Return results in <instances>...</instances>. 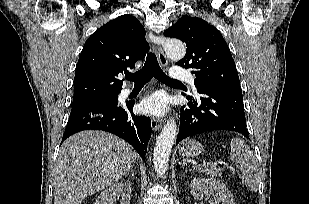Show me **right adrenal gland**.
Listing matches in <instances>:
<instances>
[{
	"mask_svg": "<svg viewBox=\"0 0 309 204\" xmlns=\"http://www.w3.org/2000/svg\"><path fill=\"white\" fill-rule=\"evenodd\" d=\"M128 175H131L133 178L137 179V177L134 174L133 168L130 169V172L128 173Z\"/></svg>",
	"mask_w": 309,
	"mask_h": 204,
	"instance_id": "right-adrenal-gland-1",
	"label": "right adrenal gland"
}]
</instances>
